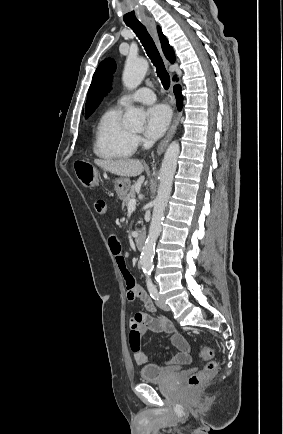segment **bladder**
<instances>
[{
  "label": "bladder",
  "instance_id": "bladder-1",
  "mask_svg": "<svg viewBox=\"0 0 283 434\" xmlns=\"http://www.w3.org/2000/svg\"><path fill=\"white\" fill-rule=\"evenodd\" d=\"M179 369L163 368L155 365H146L140 372V379L144 382H158L177 376Z\"/></svg>",
  "mask_w": 283,
  "mask_h": 434
}]
</instances>
